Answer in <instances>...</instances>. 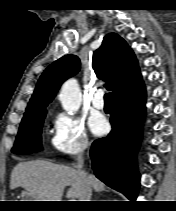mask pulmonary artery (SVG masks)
Here are the masks:
<instances>
[{
	"label": "pulmonary artery",
	"instance_id": "e3ab8cb5",
	"mask_svg": "<svg viewBox=\"0 0 176 211\" xmlns=\"http://www.w3.org/2000/svg\"><path fill=\"white\" fill-rule=\"evenodd\" d=\"M92 104L95 108L97 109H103L105 102H104V93L103 90L99 89L96 91L93 99H92Z\"/></svg>",
	"mask_w": 176,
	"mask_h": 211
}]
</instances>
